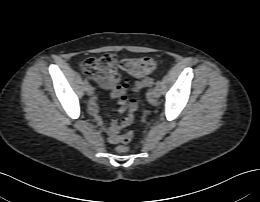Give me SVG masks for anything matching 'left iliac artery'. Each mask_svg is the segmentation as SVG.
Instances as JSON below:
<instances>
[{
  "label": "left iliac artery",
  "instance_id": "44dca946",
  "mask_svg": "<svg viewBox=\"0 0 260 202\" xmlns=\"http://www.w3.org/2000/svg\"><path fill=\"white\" fill-rule=\"evenodd\" d=\"M156 86H157V87H160V86H161V82H160L159 80L156 82Z\"/></svg>",
  "mask_w": 260,
  "mask_h": 202
}]
</instances>
